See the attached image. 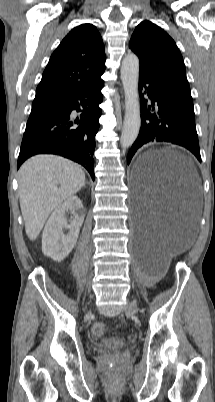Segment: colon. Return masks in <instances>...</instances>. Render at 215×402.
<instances>
[{"label": "colon", "mask_w": 215, "mask_h": 402, "mask_svg": "<svg viewBox=\"0 0 215 402\" xmlns=\"http://www.w3.org/2000/svg\"><path fill=\"white\" fill-rule=\"evenodd\" d=\"M92 332L95 336H101L105 333V326L102 323H95L92 327Z\"/></svg>", "instance_id": "5ec220e1"}]
</instances>
